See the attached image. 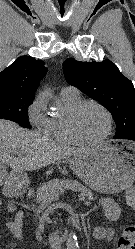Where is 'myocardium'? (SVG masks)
<instances>
[{
    "label": "myocardium",
    "instance_id": "obj_1",
    "mask_svg": "<svg viewBox=\"0 0 135 249\" xmlns=\"http://www.w3.org/2000/svg\"><path fill=\"white\" fill-rule=\"evenodd\" d=\"M88 106H94L97 107L98 109H100L104 115L106 116L107 119V130L106 132L99 138L96 139H87L85 138L79 131L78 127H77V120L81 114V112ZM68 127H69V131L72 135V137L74 138V140L78 143V144H83V145H97L101 142H103L104 140H106L111 132H112V128H113V117L111 112L101 103L97 102V101H82L80 104H78L70 113L69 117H68Z\"/></svg>",
    "mask_w": 135,
    "mask_h": 249
}]
</instances>
